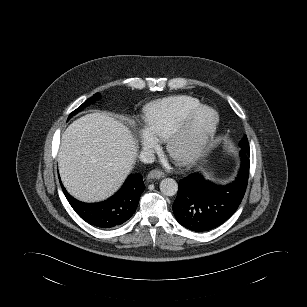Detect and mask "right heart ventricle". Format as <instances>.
Instances as JSON below:
<instances>
[{"mask_svg":"<svg viewBox=\"0 0 307 307\" xmlns=\"http://www.w3.org/2000/svg\"><path fill=\"white\" fill-rule=\"evenodd\" d=\"M199 105L200 101L189 95L154 101L145 108V130L156 141H165L185 115Z\"/></svg>","mask_w":307,"mask_h":307,"instance_id":"e07e8e85","label":"right heart ventricle"}]
</instances>
